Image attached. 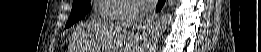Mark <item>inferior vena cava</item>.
<instances>
[{
	"mask_svg": "<svg viewBox=\"0 0 261 52\" xmlns=\"http://www.w3.org/2000/svg\"><path fill=\"white\" fill-rule=\"evenodd\" d=\"M139 17V9L133 3L127 2L124 4L123 15L120 20V25L124 28L132 27Z\"/></svg>",
	"mask_w": 261,
	"mask_h": 52,
	"instance_id": "obj_1",
	"label": "inferior vena cava"
}]
</instances>
